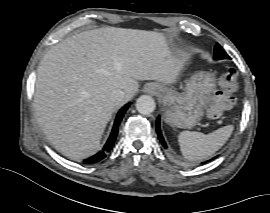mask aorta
I'll list each match as a JSON object with an SVG mask.
<instances>
[{"label": "aorta", "mask_w": 270, "mask_h": 213, "mask_svg": "<svg viewBox=\"0 0 270 213\" xmlns=\"http://www.w3.org/2000/svg\"><path fill=\"white\" fill-rule=\"evenodd\" d=\"M136 109L139 113L148 115L155 109V101L151 96L142 95L136 100Z\"/></svg>", "instance_id": "aorta-1"}]
</instances>
